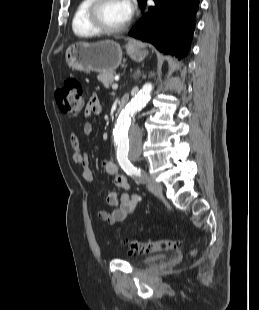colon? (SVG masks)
I'll return each mask as SVG.
<instances>
[{
    "mask_svg": "<svg viewBox=\"0 0 259 310\" xmlns=\"http://www.w3.org/2000/svg\"><path fill=\"white\" fill-rule=\"evenodd\" d=\"M55 99L57 106L64 113L78 115L84 110L83 90L77 79H67L62 87L57 90ZM127 244L133 254L144 255L177 249L180 246V241L171 239L131 240L127 241ZM194 253L193 250L192 254Z\"/></svg>",
    "mask_w": 259,
    "mask_h": 310,
    "instance_id": "colon-1",
    "label": "colon"
}]
</instances>
